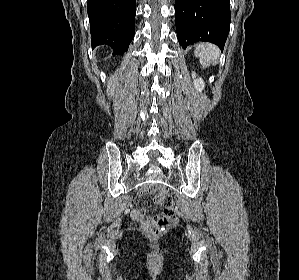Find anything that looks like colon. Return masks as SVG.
Segmentation results:
<instances>
[{"label": "colon", "mask_w": 299, "mask_h": 280, "mask_svg": "<svg viewBox=\"0 0 299 280\" xmlns=\"http://www.w3.org/2000/svg\"><path fill=\"white\" fill-rule=\"evenodd\" d=\"M155 202L164 206V212L151 218L147 229L152 236L159 235L165 227L177 221L173 200L163 189L155 196Z\"/></svg>", "instance_id": "5ec220e1"}]
</instances>
